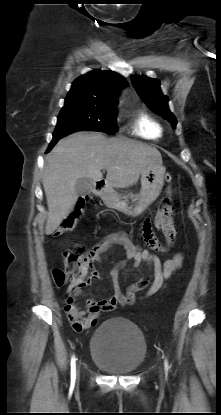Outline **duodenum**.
<instances>
[{
    "label": "duodenum",
    "instance_id": "1",
    "mask_svg": "<svg viewBox=\"0 0 221 415\" xmlns=\"http://www.w3.org/2000/svg\"><path fill=\"white\" fill-rule=\"evenodd\" d=\"M106 191V183L103 180L97 181L94 184L93 192L95 195H102Z\"/></svg>",
    "mask_w": 221,
    "mask_h": 415
}]
</instances>
